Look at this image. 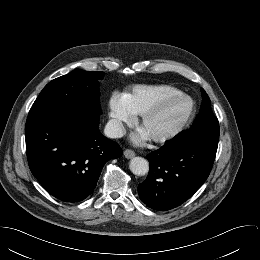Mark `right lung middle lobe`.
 <instances>
[{
	"label": "right lung middle lobe",
	"instance_id": "obj_1",
	"mask_svg": "<svg viewBox=\"0 0 260 260\" xmlns=\"http://www.w3.org/2000/svg\"><path fill=\"white\" fill-rule=\"evenodd\" d=\"M104 72L75 69L49 82L35 100L32 108L42 106L78 107L100 110L98 81Z\"/></svg>",
	"mask_w": 260,
	"mask_h": 260
}]
</instances>
